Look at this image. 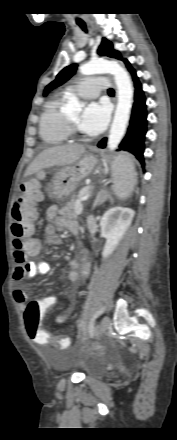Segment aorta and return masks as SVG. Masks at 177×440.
Instances as JSON below:
<instances>
[{
	"mask_svg": "<svg viewBox=\"0 0 177 440\" xmlns=\"http://www.w3.org/2000/svg\"><path fill=\"white\" fill-rule=\"evenodd\" d=\"M82 75H94L100 73H112L117 85L118 103L114 119L111 125L107 147L110 151L116 149L121 142L129 121L132 107L133 87L127 71L115 61L93 59L79 68ZM81 104L76 96H71L66 105L68 113H78Z\"/></svg>",
	"mask_w": 177,
	"mask_h": 440,
	"instance_id": "762f6f07",
	"label": "aorta"
}]
</instances>
